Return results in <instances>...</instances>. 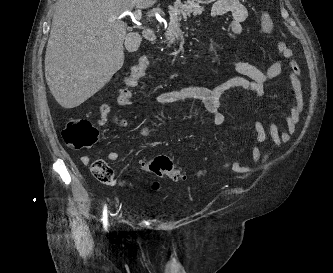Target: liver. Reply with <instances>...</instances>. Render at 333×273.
<instances>
[{
  "label": "liver",
  "instance_id": "obj_1",
  "mask_svg": "<svg viewBox=\"0 0 333 273\" xmlns=\"http://www.w3.org/2000/svg\"><path fill=\"white\" fill-rule=\"evenodd\" d=\"M157 0H58L45 53V78L55 100L79 106L124 63L126 23L117 19Z\"/></svg>",
  "mask_w": 333,
  "mask_h": 273
}]
</instances>
